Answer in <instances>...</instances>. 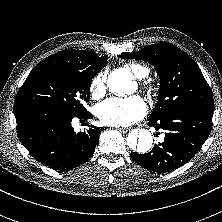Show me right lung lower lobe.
Returning <instances> with one entry per match:
<instances>
[{"mask_svg": "<svg viewBox=\"0 0 222 222\" xmlns=\"http://www.w3.org/2000/svg\"><path fill=\"white\" fill-rule=\"evenodd\" d=\"M17 134L29 153L44 165L60 171L71 170L94 153L103 128L88 125L87 132L76 133L72 119L87 121L93 115H73L41 104L15 105Z\"/></svg>", "mask_w": 222, "mask_h": 222, "instance_id": "1", "label": "right lung lower lobe"}]
</instances>
